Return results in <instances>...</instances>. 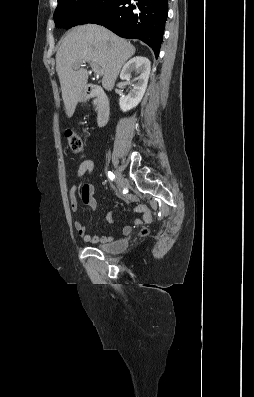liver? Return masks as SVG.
I'll use <instances>...</instances> for the list:
<instances>
[{
    "label": "liver",
    "instance_id": "6515ba94",
    "mask_svg": "<svg viewBox=\"0 0 254 397\" xmlns=\"http://www.w3.org/2000/svg\"><path fill=\"white\" fill-rule=\"evenodd\" d=\"M135 54V47L99 25L75 27L62 40L56 53V71L60 80L66 115L71 118L88 81V71L75 68L96 63L104 73L102 86L111 91L124 63Z\"/></svg>",
    "mask_w": 254,
    "mask_h": 397
}]
</instances>
